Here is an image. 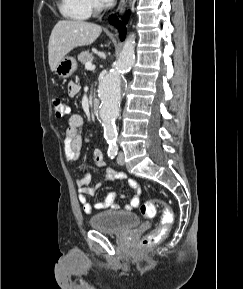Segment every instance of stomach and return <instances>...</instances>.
<instances>
[{"instance_id": "0dacf381", "label": "stomach", "mask_w": 243, "mask_h": 289, "mask_svg": "<svg viewBox=\"0 0 243 289\" xmlns=\"http://www.w3.org/2000/svg\"><path fill=\"white\" fill-rule=\"evenodd\" d=\"M77 69V62L74 57H65L57 65L55 74L60 78H67Z\"/></svg>"}]
</instances>
